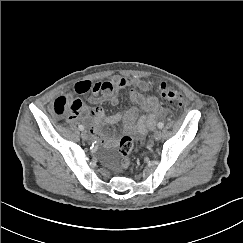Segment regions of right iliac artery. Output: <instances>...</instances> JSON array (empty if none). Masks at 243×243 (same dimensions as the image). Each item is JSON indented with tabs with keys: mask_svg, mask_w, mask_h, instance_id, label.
<instances>
[{
	"mask_svg": "<svg viewBox=\"0 0 243 243\" xmlns=\"http://www.w3.org/2000/svg\"><path fill=\"white\" fill-rule=\"evenodd\" d=\"M78 128H79V130H81V131L84 130V126H83V125H79Z\"/></svg>",
	"mask_w": 243,
	"mask_h": 243,
	"instance_id": "obj_1",
	"label": "right iliac artery"
}]
</instances>
